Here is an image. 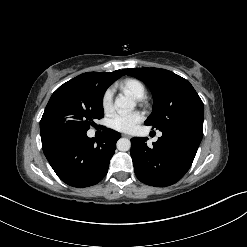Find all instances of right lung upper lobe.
<instances>
[{"label": "right lung upper lobe", "mask_w": 247, "mask_h": 247, "mask_svg": "<svg viewBox=\"0 0 247 247\" xmlns=\"http://www.w3.org/2000/svg\"><path fill=\"white\" fill-rule=\"evenodd\" d=\"M124 73V69L123 70H116L114 72H88V73H84L81 74L79 76L81 77H89L93 80H95L97 83L108 87L109 85H111L115 80H117L118 78H120L121 76H123Z\"/></svg>", "instance_id": "1"}]
</instances>
